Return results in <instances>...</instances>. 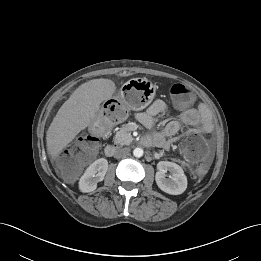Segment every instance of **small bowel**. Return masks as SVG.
<instances>
[{
    "label": "small bowel",
    "instance_id": "1",
    "mask_svg": "<svg viewBox=\"0 0 261 261\" xmlns=\"http://www.w3.org/2000/svg\"><path fill=\"white\" fill-rule=\"evenodd\" d=\"M169 112L167 104L160 99L155 100L147 110L137 114V120L146 128L152 129L157 123V117ZM213 130V121L203 106L190 108L182 112L180 121L168 122L161 132L152 136L153 143L168 150L177 139V135H193L196 133L210 134Z\"/></svg>",
    "mask_w": 261,
    "mask_h": 261
}]
</instances>
